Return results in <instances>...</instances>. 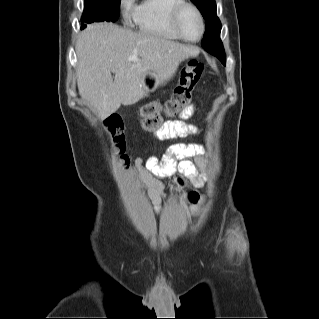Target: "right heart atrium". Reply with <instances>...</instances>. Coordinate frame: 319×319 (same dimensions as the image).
Returning <instances> with one entry per match:
<instances>
[{"instance_id": "right-heart-atrium-1", "label": "right heart atrium", "mask_w": 319, "mask_h": 319, "mask_svg": "<svg viewBox=\"0 0 319 319\" xmlns=\"http://www.w3.org/2000/svg\"><path fill=\"white\" fill-rule=\"evenodd\" d=\"M133 1H134V0H121V5H122L123 7H129V6L132 5Z\"/></svg>"}]
</instances>
